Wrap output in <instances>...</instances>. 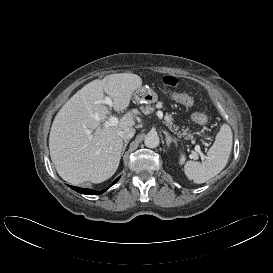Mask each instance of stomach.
<instances>
[{
    "instance_id": "obj_1",
    "label": "stomach",
    "mask_w": 273,
    "mask_h": 273,
    "mask_svg": "<svg viewBox=\"0 0 273 273\" xmlns=\"http://www.w3.org/2000/svg\"><path fill=\"white\" fill-rule=\"evenodd\" d=\"M134 98L138 103L142 104H151L157 100L155 92L146 86L138 88L134 93Z\"/></svg>"
}]
</instances>
